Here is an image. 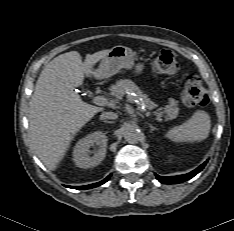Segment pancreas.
I'll list each match as a JSON object with an SVG mask.
<instances>
[{
    "instance_id": "1",
    "label": "pancreas",
    "mask_w": 234,
    "mask_h": 231,
    "mask_svg": "<svg viewBox=\"0 0 234 231\" xmlns=\"http://www.w3.org/2000/svg\"><path fill=\"white\" fill-rule=\"evenodd\" d=\"M126 89H129V91H132L136 94V96L128 95L129 100H142V102L145 104V107L149 110L157 107V105L152 102L146 94H143V92L134 82L128 79L118 80L110 87V93L117 99H121L126 94ZM178 112L179 108L177 107V102L174 100L170 101L169 105L165 106L163 111V113L166 114L167 119H175L178 116Z\"/></svg>"
}]
</instances>
